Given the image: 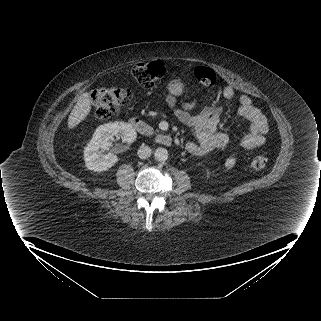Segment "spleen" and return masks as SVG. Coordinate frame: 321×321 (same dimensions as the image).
<instances>
[{
    "instance_id": "1",
    "label": "spleen",
    "mask_w": 321,
    "mask_h": 321,
    "mask_svg": "<svg viewBox=\"0 0 321 321\" xmlns=\"http://www.w3.org/2000/svg\"><path fill=\"white\" fill-rule=\"evenodd\" d=\"M233 162H234L233 158L228 159L226 162L227 167H230L233 164Z\"/></svg>"
}]
</instances>
